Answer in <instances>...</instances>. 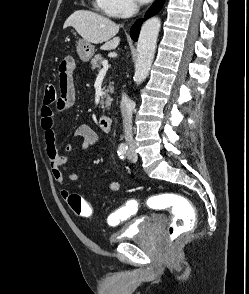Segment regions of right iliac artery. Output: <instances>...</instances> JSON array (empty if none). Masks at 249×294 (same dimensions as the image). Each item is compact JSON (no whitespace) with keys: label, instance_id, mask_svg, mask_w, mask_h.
<instances>
[{"label":"right iliac artery","instance_id":"obj_1","mask_svg":"<svg viewBox=\"0 0 249 294\" xmlns=\"http://www.w3.org/2000/svg\"><path fill=\"white\" fill-rule=\"evenodd\" d=\"M127 150H128V147L126 145H124V144H122V145H120L118 147L117 153H118L120 159H124L125 158V155L127 153Z\"/></svg>","mask_w":249,"mask_h":294}]
</instances>
